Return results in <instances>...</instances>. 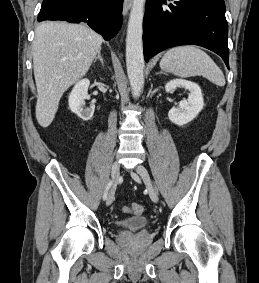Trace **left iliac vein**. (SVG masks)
<instances>
[{"label": "left iliac vein", "mask_w": 259, "mask_h": 283, "mask_svg": "<svg viewBox=\"0 0 259 283\" xmlns=\"http://www.w3.org/2000/svg\"><path fill=\"white\" fill-rule=\"evenodd\" d=\"M135 172L142 178V180L144 181L147 189H148V193H149V196L151 198V200L154 202V203H157L158 202V194L155 190V188L153 187V184L151 182V179H150V176L148 174V171L147 169L142 166V165H137L136 168H135ZM132 176L136 179V175L135 173L132 171L131 172Z\"/></svg>", "instance_id": "4c4485c4"}]
</instances>
